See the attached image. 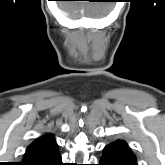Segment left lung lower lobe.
<instances>
[{
  "label": "left lung lower lobe",
  "mask_w": 165,
  "mask_h": 165,
  "mask_svg": "<svg viewBox=\"0 0 165 165\" xmlns=\"http://www.w3.org/2000/svg\"><path fill=\"white\" fill-rule=\"evenodd\" d=\"M99 165H137V162L120 149L105 147Z\"/></svg>",
  "instance_id": "1"
}]
</instances>
